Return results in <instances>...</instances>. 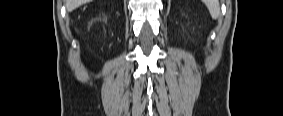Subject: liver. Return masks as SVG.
Here are the masks:
<instances>
[{
  "mask_svg": "<svg viewBox=\"0 0 283 116\" xmlns=\"http://www.w3.org/2000/svg\"><path fill=\"white\" fill-rule=\"evenodd\" d=\"M91 0H65L67 11H73L77 7L90 2Z\"/></svg>",
  "mask_w": 283,
  "mask_h": 116,
  "instance_id": "6515ba94",
  "label": "liver"
}]
</instances>
